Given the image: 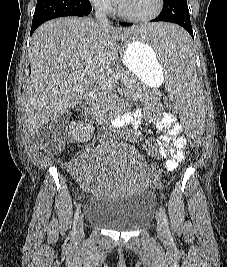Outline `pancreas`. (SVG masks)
Segmentation results:
<instances>
[{
	"instance_id": "1",
	"label": "pancreas",
	"mask_w": 227,
	"mask_h": 267,
	"mask_svg": "<svg viewBox=\"0 0 227 267\" xmlns=\"http://www.w3.org/2000/svg\"><path fill=\"white\" fill-rule=\"evenodd\" d=\"M116 75L119 76L118 79H121L125 83V85L132 90H138L143 87L139 80L134 77V75L120 72ZM114 82L115 81H111L108 84H100L93 102L95 109L108 110L114 104L117 98L113 85Z\"/></svg>"
}]
</instances>
